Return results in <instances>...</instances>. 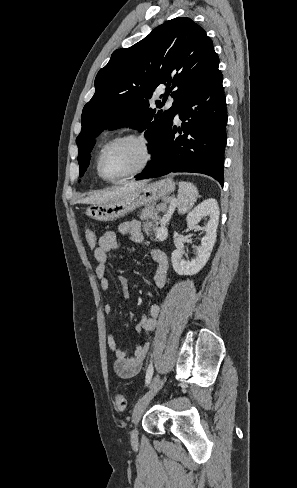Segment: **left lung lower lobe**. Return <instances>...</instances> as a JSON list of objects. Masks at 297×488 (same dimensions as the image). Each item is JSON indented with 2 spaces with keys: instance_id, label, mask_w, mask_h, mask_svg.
I'll use <instances>...</instances> for the list:
<instances>
[{
  "instance_id": "obj_1",
  "label": "left lung lower lobe",
  "mask_w": 297,
  "mask_h": 488,
  "mask_svg": "<svg viewBox=\"0 0 297 488\" xmlns=\"http://www.w3.org/2000/svg\"><path fill=\"white\" fill-rule=\"evenodd\" d=\"M218 74L198 93L187 100L179 110L183 121L171 126L154 160L136 175L148 179L170 172H195L209 175L223 186L224 150L226 137V98Z\"/></svg>"
}]
</instances>
